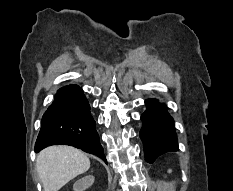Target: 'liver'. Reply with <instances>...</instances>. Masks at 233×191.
<instances>
[{
	"label": "liver",
	"mask_w": 233,
	"mask_h": 191,
	"mask_svg": "<svg viewBox=\"0 0 233 191\" xmlns=\"http://www.w3.org/2000/svg\"><path fill=\"white\" fill-rule=\"evenodd\" d=\"M89 168L87 155L66 145L45 148L36 159V169L44 191H58Z\"/></svg>",
	"instance_id": "1"
}]
</instances>
